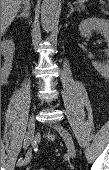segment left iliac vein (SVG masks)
Returning <instances> with one entry per match:
<instances>
[{"mask_svg":"<svg viewBox=\"0 0 109 170\" xmlns=\"http://www.w3.org/2000/svg\"><path fill=\"white\" fill-rule=\"evenodd\" d=\"M53 127L62 135L67 146L69 156L71 158H75L76 148L72 136L59 124H55Z\"/></svg>","mask_w":109,"mask_h":170,"instance_id":"4c4485c4","label":"left iliac vein"}]
</instances>
